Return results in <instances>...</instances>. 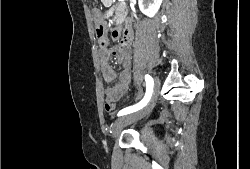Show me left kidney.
I'll return each mask as SVG.
<instances>
[{"label":"left kidney","mask_w":250,"mask_h":169,"mask_svg":"<svg viewBox=\"0 0 250 169\" xmlns=\"http://www.w3.org/2000/svg\"><path fill=\"white\" fill-rule=\"evenodd\" d=\"M138 4L140 10L152 18V16H155L156 12H158L162 0H138Z\"/></svg>","instance_id":"obj_1"}]
</instances>
